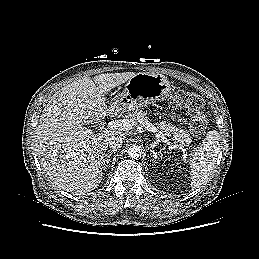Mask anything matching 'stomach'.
<instances>
[{
	"label": "stomach",
	"mask_w": 259,
	"mask_h": 259,
	"mask_svg": "<svg viewBox=\"0 0 259 259\" xmlns=\"http://www.w3.org/2000/svg\"><path fill=\"white\" fill-rule=\"evenodd\" d=\"M170 82L163 75L146 72L137 73L123 92L115 95L111 105L116 110H135L169 97Z\"/></svg>",
	"instance_id": "1"
}]
</instances>
